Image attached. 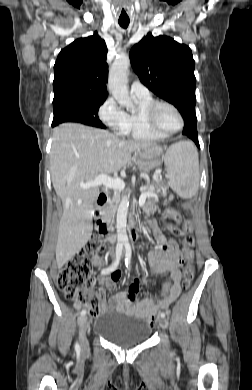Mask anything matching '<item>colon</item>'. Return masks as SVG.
Returning a JSON list of instances; mask_svg holds the SVG:
<instances>
[{
    "mask_svg": "<svg viewBox=\"0 0 252 390\" xmlns=\"http://www.w3.org/2000/svg\"><path fill=\"white\" fill-rule=\"evenodd\" d=\"M163 217L166 221L173 220L178 224L182 223L179 229L168 223V229L174 234H182V250L187 260V265L183 269L182 287L187 289L195 274L193 266L194 259V238L190 235L192 223L190 220H183L182 216L174 209L165 210ZM104 251L103 238L100 234H94L82 247L78 255L67 262L58 274V286L67 298L74 300L81 308L87 312L91 318L100 314L101 294L90 291L93 260ZM153 320L150 318V323Z\"/></svg>",
    "mask_w": 252,
    "mask_h": 390,
    "instance_id": "5ec220e1",
    "label": "colon"
}]
</instances>
